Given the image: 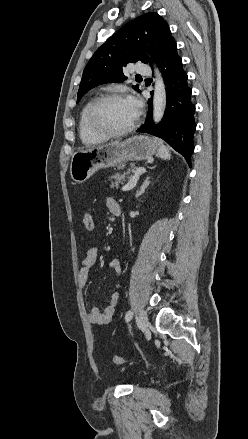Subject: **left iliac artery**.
I'll list each match as a JSON object with an SVG mask.
<instances>
[{"mask_svg": "<svg viewBox=\"0 0 248 439\" xmlns=\"http://www.w3.org/2000/svg\"><path fill=\"white\" fill-rule=\"evenodd\" d=\"M133 317V312L131 310L127 311L125 314V320L128 322L132 319Z\"/></svg>", "mask_w": 248, "mask_h": 439, "instance_id": "obj_1", "label": "left iliac artery"}]
</instances>
